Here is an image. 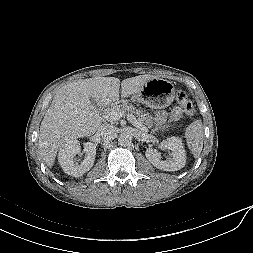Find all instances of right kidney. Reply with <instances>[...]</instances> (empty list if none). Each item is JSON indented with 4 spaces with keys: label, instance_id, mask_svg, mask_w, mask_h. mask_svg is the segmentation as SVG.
I'll return each mask as SVG.
<instances>
[{
    "label": "right kidney",
    "instance_id": "obj_1",
    "mask_svg": "<svg viewBox=\"0 0 253 253\" xmlns=\"http://www.w3.org/2000/svg\"><path fill=\"white\" fill-rule=\"evenodd\" d=\"M80 151V143L76 139L68 141L60 148L58 162L66 174L73 177H81L93 167L96 156V146L91 142L84 144L83 152L85 153V158L79 164L76 162L75 156L79 154Z\"/></svg>",
    "mask_w": 253,
    "mask_h": 253
}]
</instances>
